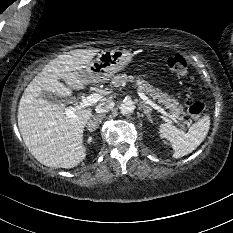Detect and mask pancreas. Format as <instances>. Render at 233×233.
Listing matches in <instances>:
<instances>
[{"mask_svg":"<svg viewBox=\"0 0 233 233\" xmlns=\"http://www.w3.org/2000/svg\"><path fill=\"white\" fill-rule=\"evenodd\" d=\"M124 81H136V85L138 87V90L144 94H147L149 97H151L153 100L158 101V103L164 105L166 109H169L170 113L178 118L180 121L183 120L182 114L183 107L179 105V102L172 98L167 93H163L160 89L154 88L148 81H145L143 79L138 78L137 80H134L132 76H127L126 74L117 75L112 78L111 86L118 87L121 85ZM183 126L182 124H180Z\"/></svg>","mask_w":233,"mask_h":233,"instance_id":"cf45deb5","label":"pancreas"}]
</instances>
